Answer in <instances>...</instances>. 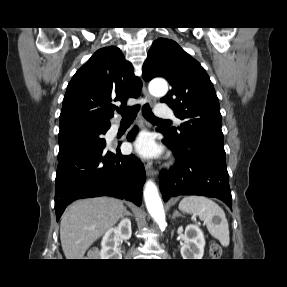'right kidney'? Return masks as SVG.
<instances>
[{
  "mask_svg": "<svg viewBox=\"0 0 287 287\" xmlns=\"http://www.w3.org/2000/svg\"><path fill=\"white\" fill-rule=\"evenodd\" d=\"M132 234L130 219H123L117 227L110 228L104 234L101 242V259H122V255L117 248L119 237L129 239Z\"/></svg>",
  "mask_w": 287,
  "mask_h": 287,
  "instance_id": "ca27d5eb",
  "label": "right kidney"
}]
</instances>
